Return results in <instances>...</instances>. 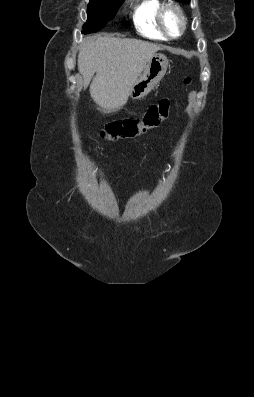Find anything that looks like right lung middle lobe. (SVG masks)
<instances>
[{"mask_svg":"<svg viewBox=\"0 0 254 397\" xmlns=\"http://www.w3.org/2000/svg\"><path fill=\"white\" fill-rule=\"evenodd\" d=\"M124 0H90L87 8V22L83 25V34L94 33L102 29L114 18Z\"/></svg>","mask_w":254,"mask_h":397,"instance_id":"dd1d6c3e","label":"right lung middle lobe"}]
</instances>
